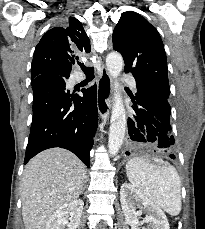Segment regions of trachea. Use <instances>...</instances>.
<instances>
[{
    "label": "trachea",
    "instance_id": "obj_1",
    "mask_svg": "<svg viewBox=\"0 0 205 229\" xmlns=\"http://www.w3.org/2000/svg\"><path fill=\"white\" fill-rule=\"evenodd\" d=\"M80 66H81V69L83 70V72L85 73L86 78H88V79L94 78L93 68L85 67L84 65H80Z\"/></svg>",
    "mask_w": 205,
    "mask_h": 229
}]
</instances>
